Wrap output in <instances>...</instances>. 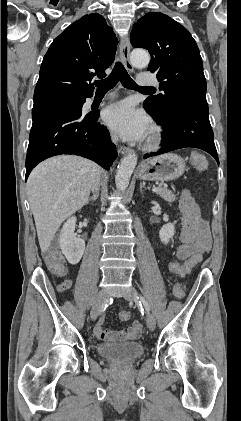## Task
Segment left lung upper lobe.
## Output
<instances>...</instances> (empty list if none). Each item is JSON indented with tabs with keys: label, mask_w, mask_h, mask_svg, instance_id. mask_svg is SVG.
Segmentation results:
<instances>
[{
	"label": "left lung upper lobe",
	"mask_w": 241,
	"mask_h": 421,
	"mask_svg": "<svg viewBox=\"0 0 241 421\" xmlns=\"http://www.w3.org/2000/svg\"><path fill=\"white\" fill-rule=\"evenodd\" d=\"M131 44L151 54L148 71L157 72L164 93L144 101L148 113L163 123L192 98L206 100V79L197 44L189 31L169 16L149 12L134 24Z\"/></svg>",
	"instance_id": "left-lung-upper-lobe-1"
}]
</instances>
